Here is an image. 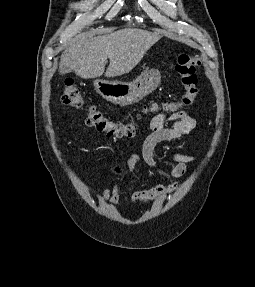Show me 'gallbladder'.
Returning a JSON list of instances; mask_svg holds the SVG:
<instances>
[{"label":"gallbladder","mask_w":255,"mask_h":287,"mask_svg":"<svg viewBox=\"0 0 255 287\" xmlns=\"http://www.w3.org/2000/svg\"><path fill=\"white\" fill-rule=\"evenodd\" d=\"M60 74H69L71 72L70 68L68 66H60L59 70Z\"/></svg>","instance_id":"gallbladder-1"}]
</instances>
